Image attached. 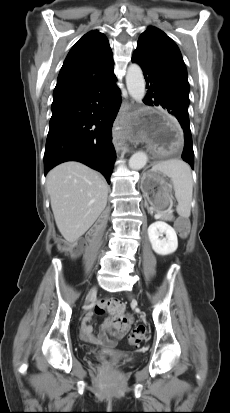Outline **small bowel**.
Wrapping results in <instances>:
<instances>
[{
    "mask_svg": "<svg viewBox=\"0 0 230 413\" xmlns=\"http://www.w3.org/2000/svg\"><path fill=\"white\" fill-rule=\"evenodd\" d=\"M93 318V313L90 312L88 313L81 324V334L84 340L92 343V344H107V345H112V342L107 341L105 339V333L109 329L114 330V334L117 337H122L125 335L131 324H132V317L129 315H126L125 312H123L120 315H113L111 319H107L103 324H102V333L100 337H95L92 333V327L90 325V321Z\"/></svg>",
    "mask_w": 230,
    "mask_h": 413,
    "instance_id": "small-bowel-1",
    "label": "small bowel"
}]
</instances>
